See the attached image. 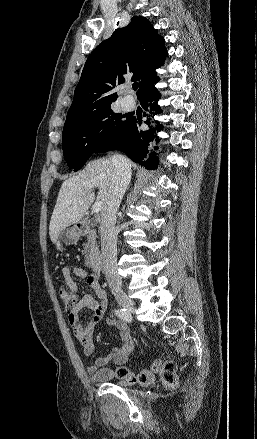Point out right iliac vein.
Here are the masks:
<instances>
[{"mask_svg":"<svg viewBox=\"0 0 257 439\" xmlns=\"http://www.w3.org/2000/svg\"><path fill=\"white\" fill-rule=\"evenodd\" d=\"M114 296L116 298V301L119 303L120 306L127 309L128 311L134 310V303L132 299L123 291H118L114 293Z\"/></svg>","mask_w":257,"mask_h":439,"instance_id":"63e3f726","label":"right iliac vein"}]
</instances>
